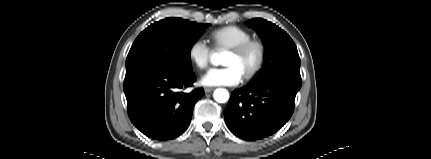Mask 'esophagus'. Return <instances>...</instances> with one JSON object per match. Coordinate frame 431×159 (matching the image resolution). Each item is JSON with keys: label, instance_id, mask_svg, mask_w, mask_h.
Instances as JSON below:
<instances>
[{"label": "esophagus", "instance_id": "34e87169", "mask_svg": "<svg viewBox=\"0 0 431 159\" xmlns=\"http://www.w3.org/2000/svg\"><path fill=\"white\" fill-rule=\"evenodd\" d=\"M213 90H214V88H213V87H205V88H204L205 93H210V92H212Z\"/></svg>", "mask_w": 431, "mask_h": 159}]
</instances>
